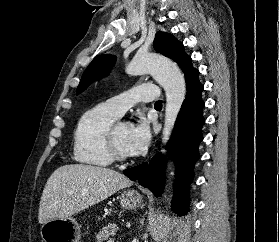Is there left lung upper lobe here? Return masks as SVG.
Instances as JSON below:
<instances>
[{
    "label": "left lung upper lobe",
    "mask_w": 279,
    "mask_h": 242,
    "mask_svg": "<svg viewBox=\"0 0 279 242\" xmlns=\"http://www.w3.org/2000/svg\"><path fill=\"white\" fill-rule=\"evenodd\" d=\"M153 45L157 52L171 58L180 67L189 57L184 52L183 44L168 33L158 32ZM115 60V56L108 54L95 58L83 73L82 79L77 87V94L84 91L94 80L105 76L115 63Z\"/></svg>",
    "instance_id": "obj_1"
}]
</instances>
